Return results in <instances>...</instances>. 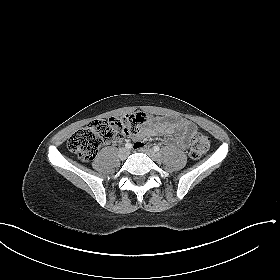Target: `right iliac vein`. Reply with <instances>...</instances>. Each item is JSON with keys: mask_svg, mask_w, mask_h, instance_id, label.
<instances>
[{"mask_svg": "<svg viewBox=\"0 0 280 280\" xmlns=\"http://www.w3.org/2000/svg\"><path fill=\"white\" fill-rule=\"evenodd\" d=\"M129 154H130V151L128 149H126V148H121L119 150V153H118L119 158L121 160H125L129 156Z\"/></svg>", "mask_w": 280, "mask_h": 280, "instance_id": "1", "label": "right iliac vein"}]
</instances>
